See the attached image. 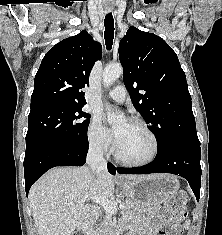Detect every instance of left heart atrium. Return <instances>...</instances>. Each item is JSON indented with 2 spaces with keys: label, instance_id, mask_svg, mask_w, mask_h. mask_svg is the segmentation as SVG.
<instances>
[{
  "label": "left heart atrium",
  "instance_id": "1",
  "mask_svg": "<svg viewBox=\"0 0 222 235\" xmlns=\"http://www.w3.org/2000/svg\"><path fill=\"white\" fill-rule=\"evenodd\" d=\"M121 138H122V131H121V130H117V131L115 132V139H116L117 144L119 143V141L121 140Z\"/></svg>",
  "mask_w": 222,
  "mask_h": 235
}]
</instances>
